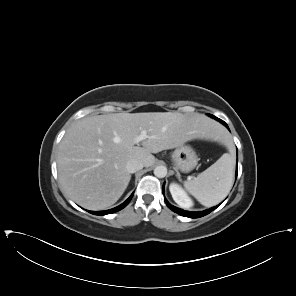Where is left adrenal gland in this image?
<instances>
[{
	"label": "left adrenal gland",
	"mask_w": 296,
	"mask_h": 296,
	"mask_svg": "<svg viewBox=\"0 0 296 296\" xmlns=\"http://www.w3.org/2000/svg\"><path fill=\"white\" fill-rule=\"evenodd\" d=\"M176 177H177L179 180L181 179V177H180V173H179L178 170H176Z\"/></svg>",
	"instance_id": "1"
}]
</instances>
